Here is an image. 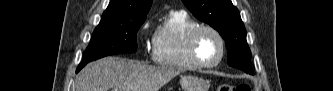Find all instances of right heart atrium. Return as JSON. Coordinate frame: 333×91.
<instances>
[{
    "instance_id": "d8ad5b80",
    "label": "right heart atrium",
    "mask_w": 333,
    "mask_h": 91,
    "mask_svg": "<svg viewBox=\"0 0 333 91\" xmlns=\"http://www.w3.org/2000/svg\"><path fill=\"white\" fill-rule=\"evenodd\" d=\"M148 28H149V22L146 21L145 23L142 24L140 30H141V31H145V30H147Z\"/></svg>"
}]
</instances>
